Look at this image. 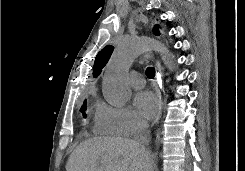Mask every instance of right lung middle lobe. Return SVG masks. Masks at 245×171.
Returning <instances> with one entry per match:
<instances>
[{
    "label": "right lung middle lobe",
    "instance_id": "1",
    "mask_svg": "<svg viewBox=\"0 0 245 171\" xmlns=\"http://www.w3.org/2000/svg\"><path fill=\"white\" fill-rule=\"evenodd\" d=\"M85 110H86V100L84 101V103L80 109V111L83 113L84 118H86Z\"/></svg>",
    "mask_w": 245,
    "mask_h": 171
}]
</instances>
